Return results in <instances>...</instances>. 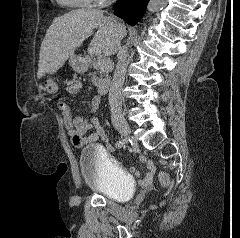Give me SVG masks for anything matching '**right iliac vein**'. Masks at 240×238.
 Returning <instances> with one entry per match:
<instances>
[{
  "label": "right iliac vein",
  "instance_id": "obj_1",
  "mask_svg": "<svg viewBox=\"0 0 240 238\" xmlns=\"http://www.w3.org/2000/svg\"><path fill=\"white\" fill-rule=\"evenodd\" d=\"M115 125H116V128L118 129V131L120 132V134L125 139L130 137L131 129H130L129 125L127 124V122H125L124 120H119L116 122Z\"/></svg>",
  "mask_w": 240,
  "mask_h": 238
}]
</instances>
